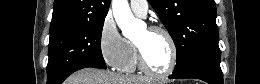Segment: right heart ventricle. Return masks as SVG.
<instances>
[{
  "mask_svg": "<svg viewBox=\"0 0 260 84\" xmlns=\"http://www.w3.org/2000/svg\"><path fill=\"white\" fill-rule=\"evenodd\" d=\"M117 68L123 73H133L139 69L133 42L126 40V55Z\"/></svg>",
  "mask_w": 260,
  "mask_h": 84,
  "instance_id": "1",
  "label": "right heart ventricle"
}]
</instances>
